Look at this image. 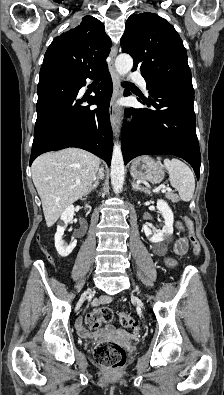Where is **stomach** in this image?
<instances>
[{
  "mask_svg": "<svg viewBox=\"0 0 224 395\" xmlns=\"http://www.w3.org/2000/svg\"><path fill=\"white\" fill-rule=\"evenodd\" d=\"M130 173L136 180H144L151 183H160L165 175L163 165L148 156L135 159L130 167Z\"/></svg>",
  "mask_w": 224,
  "mask_h": 395,
  "instance_id": "stomach-1",
  "label": "stomach"
}]
</instances>
